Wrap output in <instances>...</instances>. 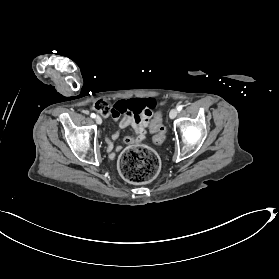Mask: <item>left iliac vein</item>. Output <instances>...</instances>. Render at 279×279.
<instances>
[{"label": "left iliac vein", "instance_id": "1", "mask_svg": "<svg viewBox=\"0 0 279 279\" xmlns=\"http://www.w3.org/2000/svg\"><path fill=\"white\" fill-rule=\"evenodd\" d=\"M177 114H178L177 109H172V110L170 111V113H169V117H170L171 119H174V118L177 116Z\"/></svg>", "mask_w": 279, "mask_h": 279}]
</instances>
